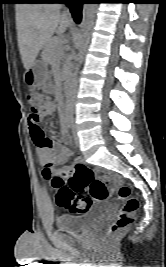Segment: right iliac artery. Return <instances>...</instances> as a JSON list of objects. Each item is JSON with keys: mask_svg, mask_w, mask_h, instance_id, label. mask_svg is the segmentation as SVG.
<instances>
[{"mask_svg": "<svg viewBox=\"0 0 166 267\" xmlns=\"http://www.w3.org/2000/svg\"><path fill=\"white\" fill-rule=\"evenodd\" d=\"M72 116L70 114H65V117H64V123L66 124L67 128L70 129L71 126H72Z\"/></svg>", "mask_w": 166, "mask_h": 267, "instance_id": "1", "label": "right iliac artery"}]
</instances>
